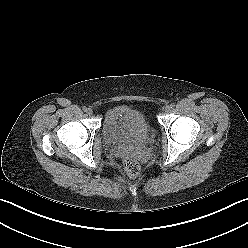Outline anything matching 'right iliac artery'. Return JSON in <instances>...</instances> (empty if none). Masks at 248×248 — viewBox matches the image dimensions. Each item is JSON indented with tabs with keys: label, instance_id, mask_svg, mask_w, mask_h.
I'll list each match as a JSON object with an SVG mask.
<instances>
[{
	"label": "right iliac artery",
	"instance_id": "right-iliac-artery-1",
	"mask_svg": "<svg viewBox=\"0 0 248 248\" xmlns=\"http://www.w3.org/2000/svg\"><path fill=\"white\" fill-rule=\"evenodd\" d=\"M82 110H83L84 112H86V111H87V107L84 106V107L82 108Z\"/></svg>",
	"mask_w": 248,
	"mask_h": 248
}]
</instances>
